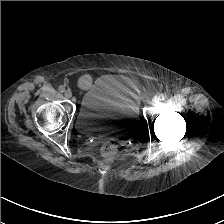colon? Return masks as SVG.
Listing matches in <instances>:
<instances>
[{"label":"colon","instance_id":"5ec220e1","mask_svg":"<svg viewBox=\"0 0 224 224\" xmlns=\"http://www.w3.org/2000/svg\"><path fill=\"white\" fill-rule=\"evenodd\" d=\"M118 151V148L115 144L113 143H105L103 146H102V153L105 155V156H113L117 153Z\"/></svg>","mask_w":224,"mask_h":224}]
</instances>
